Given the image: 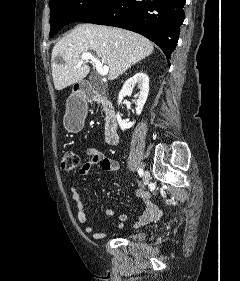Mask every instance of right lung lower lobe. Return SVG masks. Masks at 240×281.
Wrapping results in <instances>:
<instances>
[{
  "label": "right lung lower lobe",
  "instance_id": "obj_1",
  "mask_svg": "<svg viewBox=\"0 0 240 281\" xmlns=\"http://www.w3.org/2000/svg\"><path fill=\"white\" fill-rule=\"evenodd\" d=\"M186 0H118L107 13L91 23L140 33L155 42L167 59L175 50L184 21Z\"/></svg>",
  "mask_w": 240,
  "mask_h": 281
}]
</instances>
